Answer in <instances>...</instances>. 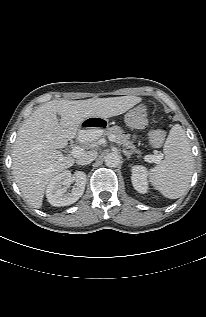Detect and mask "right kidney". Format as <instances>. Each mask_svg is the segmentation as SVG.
<instances>
[{"label": "right kidney", "mask_w": 206, "mask_h": 317, "mask_svg": "<svg viewBox=\"0 0 206 317\" xmlns=\"http://www.w3.org/2000/svg\"><path fill=\"white\" fill-rule=\"evenodd\" d=\"M75 181L71 192H67L68 187ZM86 184V174L76 171L72 176L70 171H63L57 174L49 182L46 190L48 202L55 207L66 206L75 203L84 193Z\"/></svg>", "instance_id": "1"}]
</instances>
